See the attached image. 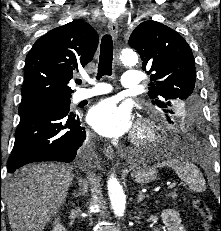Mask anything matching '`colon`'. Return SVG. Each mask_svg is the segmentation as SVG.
<instances>
[{
	"instance_id": "colon-1",
	"label": "colon",
	"mask_w": 221,
	"mask_h": 231,
	"mask_svg": "<svg viewBox=\"0 0 221 231\" xmlns=\"http://www.w3.org/2000/svg\"><path fill=\"white\" fill-rule=\"evenodd\" d=\"M192 205L195 210L200 214L204 222L205 230H208L213 219L211 210L209 209L207 204L200 198H194L192 200Z\"/></svg>"
}]
</instances>
